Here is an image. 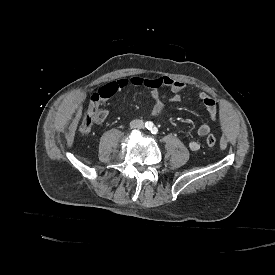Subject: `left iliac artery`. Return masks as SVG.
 <instances>
[{"mask_svg":"<svg viewBox=\"0 0 275 275\" xmlns=\"http://www.w3.org/2000/svg\"><path fill=\"white\" fill-rule=\"evenodd\" d=\"M151 133H152V134H157V133H158V128H157V127H153V128L151 129Z\"/></svg>","mask_w":275,"mask_h":275,"instance_id":"44dca946","label":"left iliac artery"}]
</instances>
